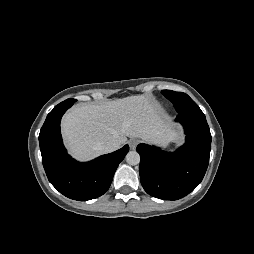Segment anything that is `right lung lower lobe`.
<instances>
[{
    "mask_svg": "<svg viewBox=\"0 0 254 254\" xmlns=\"http://www.w3.org/2000/svg\"><path fill=\"white\" fill-rule=\"evenodd\" d=\"M76 102L67 99L48 114L39 134L42 162L50 183L63 195L87 201L103 195L113 175L129 151V146L90 162L80 163L71 158L63 146L60 121L65 111Z\"/></svg>",
    "mask_w": 254,
    "mask_h": 254,
    "instance_id": "1",
    "label": "right lung lower lobe"
}]
</instances>
